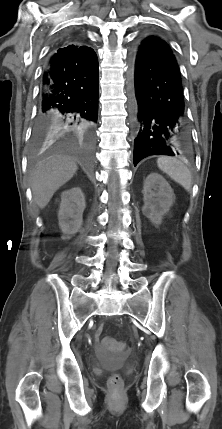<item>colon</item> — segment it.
I'll list each match as a JSON object with an SVG mask.
<instances>
[{"instance_id":"5ec220e1","label":"colon","mask_w":222,"mask_h":429,"mask_svg":"<svg viewBox=\"0 0 222 429\" xmlns=\"http://www.w3.org/2000/svg\"><path fill=\"white\" fill-rule=\"evenodd\" d=\"M102 343L105 347L112 351L121 352L125 349V344L122 341L110 338L108 336L104 337ZM109 386L113 390H118L122 385V378L118 374H113L109 378Z\"/></svg>"}]
</instances>
